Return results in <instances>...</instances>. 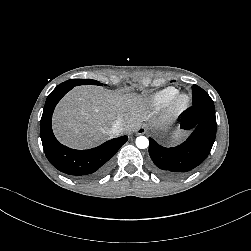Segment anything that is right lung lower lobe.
<instances>
[{
	"mask_svg": "<svg viewBox=\"0 0 251 251\" xmlns=\"http://www.w3.org/2000/svg\"><path fill=\"white\" fill-rule=\"evenodd\" d=\"M72 88L71 85L60 84L46 100L40 124L44 152L50 163L63 173L84 179L97 178L105 173L108 160L128 138H114L88 150H74L60 144L52 131V114L59 100Z\"/></svg>",
	"mask_w": 251,
	"mask_h": 251,
	"instance_id": "1",
	"label": "right lung lower lobe"
}]
</instances>
